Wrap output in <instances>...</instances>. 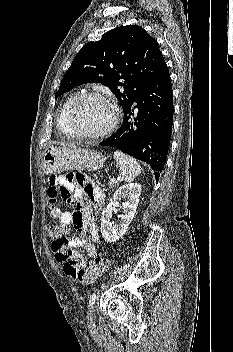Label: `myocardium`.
Returning <instances> with one entry per match:
<instances>
[{
	"instance_id": "f54148a6",
	"label": "myocardium",
	"mask_w": 233,
	"mask_h": 352,
	"mask_svg": "<svg viewBox=\"0 0 233 352\" xmlns=\"http://www.w3.org/2000/svg\"><path fill=\"white\" fill-rule=\"evenodd\" d=\"M87 98H96L100 99L104 102H106L111 110H112V119L110 123L101 131L95 132V133H81L75 130L74 125H73V113L77 105L84 99ZM119 109L117 105L114 103V101L109 98L108 96L99 93V92H84L79 95H77L74 100L71 102L68 111H67V116H66V123L67 127L70 131V134L72 137L77 138V139H86V140H92V139H100L108 134H110L117 126L119 122Z\"/></svg>"
}]
</instances>
